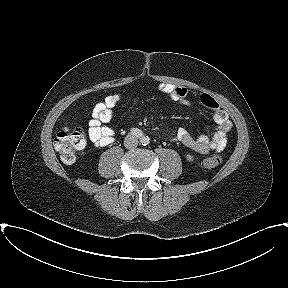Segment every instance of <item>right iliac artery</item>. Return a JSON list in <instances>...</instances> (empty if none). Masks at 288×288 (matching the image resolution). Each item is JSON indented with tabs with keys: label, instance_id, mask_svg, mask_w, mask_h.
Instances as JSON below:
<instances>
[{
	"label": "right iliac artery",
	"instance_id": "obj_1",
	"mask_svg": "<svg viewBox=\"0 0 288 288\" xmlns=\"http://www.w3.org/2000/svg\"><path fill=\"white\" fill-rule=\"evenodd\" d=\"M130 131H131V134L136 137H141L143 135L142 131L139 130L138 128H132Z\"/></svg>",
	"mask_w": 288,
	"mask_h": 288
}]
</instances>
